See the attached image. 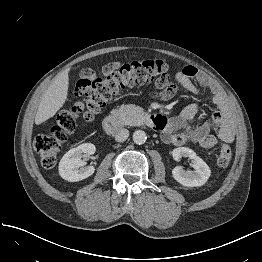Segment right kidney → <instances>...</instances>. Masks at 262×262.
<instances>
[{
    "label": "right kidney",
    "instance_id": "ca27d5eb",
    "mask_svg": "<svg viewBox=\"0 0 262 262\" xmlns=\"http://www.w3.org/2000/svg\"><path fill=\"white\" fill-rule=\"evenodd\" d=\"M96 147L92 143H83L76 148L69 150L60 160L59 174L69 182H76L91 176L95 168L86 166V162L81 159L84 154L92 155Z\"/></svg>",
    "mask_w": 262,
    "mask_h": 262
}]
</instances>
